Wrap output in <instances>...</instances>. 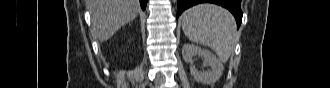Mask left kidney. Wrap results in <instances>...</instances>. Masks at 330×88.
Listing matches in <instances>:
<instances>
[{
    "label": "left kidney",
    "mask_w": 330,
    "mask_h": 88,
    "mask_svg": "<svg viewBox=\"0 0 330 88\" xmlns=\"http://www.w3.org/2000/svg\"><path fill=\"white\" fill-rule=\"evenodd\" d=\"M203 58V66L211 67V71H199L195 67H190V73L194 79L204 85H210L218 81L223 73L224 67L220 60L209 50L202 49L196 45L185 44L182 48V56L185 62L192 63L194 56Z\"/></svg>",
    "instance_id": "obj_1"
}]
</instances>
